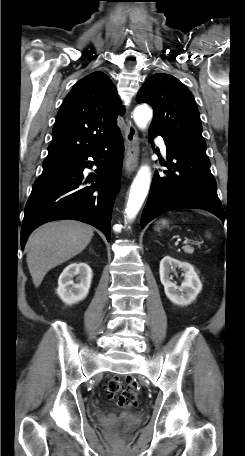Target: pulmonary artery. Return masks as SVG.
I'll return each instance as SVG.
<instances>
[{"label": "pulmonary artery", "mask_w": 245, "mask_h": 456, "mask_svg": "<svg viewBox=\"0 0 245 456\" xmlns=\"http://www.w3.org/2000/svg\"><path fill=\"white\" fill-rule=\"evenodd\" d=\"M158 142H159V145H160V148L163 152H166V145L165 143L161 140V139H158Z\"/></svg>", "instance_id": "pulmonary-artery-1"}]
</instances>
